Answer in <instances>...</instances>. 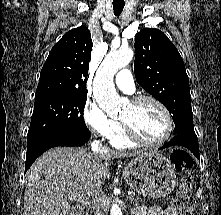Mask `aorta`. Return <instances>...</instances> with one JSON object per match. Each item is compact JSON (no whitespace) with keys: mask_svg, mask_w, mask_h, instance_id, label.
I'll return each mask as SVG.
<instances>
[{"mask_svg":"<svg viewBox=\"0 0 221 215\" xmlns=\"http://www.w3.org/2000/svg\"><path fill=\"white\" fill-rule=\"evenodd\" d=\"M134 53L131 49L111 51L106 55L97 70L93 94L99 107L109 116H115L121 111L122 101L114 86V75L130 63ZM110 215H123L118 204H113Z\"/></svg>","mask_w":221,"mask_h":215,"instance_id":"aorta-1","label":"aorta"}]
</instances>
